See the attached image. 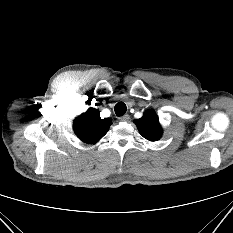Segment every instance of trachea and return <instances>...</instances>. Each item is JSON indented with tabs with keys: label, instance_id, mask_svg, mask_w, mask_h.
Masks as SVG:
<instances>
[{
	"label": "trachea",
	"instance_id": "3493384b",
	"mask_svg": "<svg viewBox=\"0 0 233 233\" xmlns=\"http://www.w3.org/2000/svg\"><path fill=\"white\" fill-rule=\"evenodd\" d=\"M114 110L117 116H123L126 113L127 108L123 102H118L115 105Z\"/></svg>",
	"mask_w": 233,
	"mask_h": 233
}]
</instances>
